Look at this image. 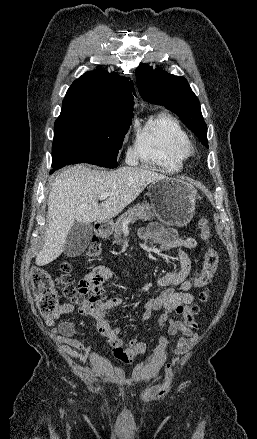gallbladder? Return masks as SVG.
Listing matches in <instances>:
<instances>
[{
  "mask_svg": "<svg viewBox=\"0 0 257 439\" xmlns=\"http://www.w3.org/2000/svg\"><path fill=\"white\" fill-rule=\"evenodd\" d=\"M92 234L91 224L76 222L68 232L64 254L69 257L81 255L87 248Z\"/></svg>",
  "mask_w": 257,
  "mask_h": 439,
  "instance_id": "obj_1",
  "label": "gallbladder"
}]
</instances>
